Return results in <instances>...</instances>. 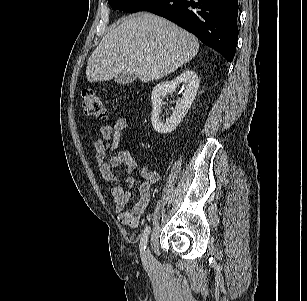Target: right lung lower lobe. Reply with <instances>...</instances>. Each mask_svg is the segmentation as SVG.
Returning a JSON list of instances; mask_svg holds the SVG:
<instances>
[{
	"label": "right lung lower lobe",
	"instance_id": "obj_1",
	"mask_svg": "<svg viewBox=\"0 0 307 301\" xmlns=\"http://www.w3.org/2000/svg\"><path fill=\"white\" fill-rule=\"evenodd\" d=\"M141 11L173 21L232 62L238 39V0H155Z\"/></svg>",
	"mask_w": 307,
	"mask_h": 301
}]
</instances>
